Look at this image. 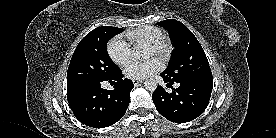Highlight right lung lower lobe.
<instances>
[{
    "label": "right lung lower lobe",
    "mask_w": 276,
    "mask_h": 138,
    "mask_svg": "<svg viewBox=\"0 0 276 138\" xmlns=\"http://www.w3.org/2000/svg\"><path fill=\"white\" fill-rule=\"evenodd\" d=\"M122 78L119 70L109 79L67 88V100L75 117L94 128H105L120 120L128 108L130 91L134 87L131 80ZM103 81L113 83L114 89H102Z\"/></svg>",
    "instance_id": "obj_1"
}]
</instances>
